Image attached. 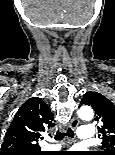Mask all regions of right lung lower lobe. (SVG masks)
Here are the masks:
<instances>
[{
	"mask_svg": "<svg viewBox=\"0 0 115 155\" xmlns=\"http://www.w3.org/2000/svg\"><path fill=\"white\" fill-rule=\"evenodd\" d=\"M32 155H42V153H36V154H32Z\"/></svg>",
	"mask_w": 115,
	"mask_h": 155,
	"instance_id": "obj_1",
	"label": "right lung lower lobe"
}]
</instances>
